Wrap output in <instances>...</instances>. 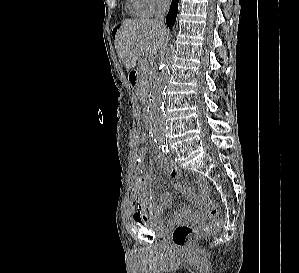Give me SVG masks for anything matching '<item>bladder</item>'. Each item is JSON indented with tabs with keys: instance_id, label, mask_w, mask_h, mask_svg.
Listing matches in <instances>:
<instances>
[{
	"instance_id": "31cf9c89",
	"label": "bladder",
	"mask_w": 299,
	"mask_h": 273,
	"mask_svg": "<svg viewBox=\"0 0 299 273\" xmlns=\"http://www.w3.org/2000/svg\"><path fill=\"white\" fill-rule=\"evenodd\" d=\"M139 224L159 234H162L165 230L164 221L161 218L151 216V215L147 216L142 221H139Z\"/></svg>"
}]
</instances>
